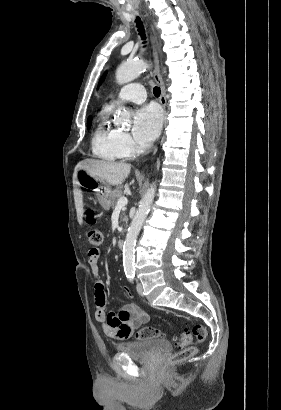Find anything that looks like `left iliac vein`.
Here are the masks:
<instances>
[{"label": "left iliac vein", "instance_id": "1", "mask_svg": "<svg viewBox=\"0 0 281 410\" xmlns=\"http://www.w3.org/2000/svg\"><path fill=\"white\" fill-rule=\"evenodd\" d=\"M137 292L139 295H143V287L142 284L140 282H137V286H136Z\"/></svg>", "mask_w": 281, "mask_h": 410}]
</instances>
